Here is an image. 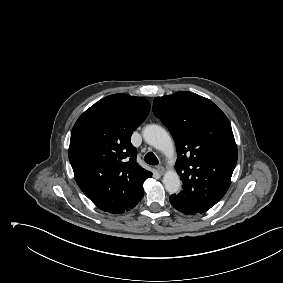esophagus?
<instances>
[{
    "label": "esophagus",
    "instance_id": "obj_1",
    "mask_svg": "<svg viewBox=\"0 0 283 283\" xmlns=\"http://www.w3.org/2000/svg\"><path fill=\"white\" fill-rule=\"evenodd\" d=\"M156 169L160 175H163L165 172V168L163 166H157Z\"/></svg>",
    "mask_w": 283,
    "mask_h": 283
}]
</instances>
